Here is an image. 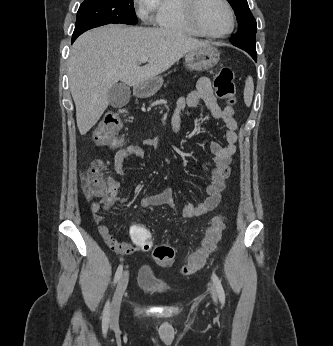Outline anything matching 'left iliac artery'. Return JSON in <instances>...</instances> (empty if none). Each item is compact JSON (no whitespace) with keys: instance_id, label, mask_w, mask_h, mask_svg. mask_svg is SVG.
<instances>
[{"instance_id":"44dca946","label":"left iliac artery","mask_w":333,"mask_h":346,"mask_svg":"<svg viewBox=\"0 0 333 346\" xmlns=\"http://www.w3.org/2000/svg\"><path fill=\"white\" fill-rule=\"evenodd\" d=\"M212 281L215 285V288L217 290V293H218V296H219V299L222 303V305H224L225 303V293H224V289L222 287V284H221V281L220 279L218 278V276L213 272L212 273Z\"/></svg>"}]
</instances>
